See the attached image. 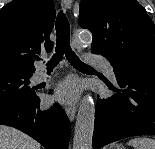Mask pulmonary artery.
<instances>
[{
  "label": "pulmonary artery",
  "mask_w": 155,
  "mask_h": 149,
  "mask_svg": "<svg viewBox=\"0 0 155 149\" xmlns=\"http://www.w3.org/2000/svg\"><path fill=\"white\" fill-rule=\"evenodd\" d=\"M85 60H86V63H88L90 65H95V66L101 67L102 70L112 80H115V74H114L113 68L107 59L99 57L92 53H88L85 55ZM47 78H49V75L43 70H39L34 74V81L37 83L45 81Z\"/></svg>",
  "instance_id": "1"
}]
</instances>
